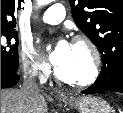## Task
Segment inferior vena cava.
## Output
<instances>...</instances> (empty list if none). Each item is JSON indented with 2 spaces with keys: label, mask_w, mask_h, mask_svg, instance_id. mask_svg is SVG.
Masks as SVG:
<instances>
[{
  "label": "inferior vena cava",
  "mask_w": 123,
  "mask_h": 113,
  "mask_svg": "<svg viewBox=\"0 0 123 113\" xmlns=\"http://www.w3.org/2000/svg\"><path fill=\"white\" fill-rule=\"evenodd\" d=\"M21 90L27 96H38L40 90L36 78L32 75H26Z\"/></svg>",
  "instance_id": "602c4592"
}]
</instances>
